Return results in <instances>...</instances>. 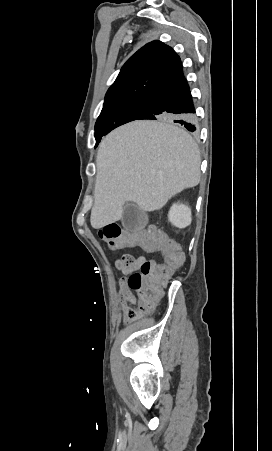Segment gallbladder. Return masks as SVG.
<instances>
[{
  "label": "gallbladder",
  "mask_w": 272,
  "mask_h": 451,
  "mask_svg": "<svg viewBox=\"0 0 272 451\" xmlns=\"http://www.w3.org/2000/svg\"><path fill=\"white\" fill-rule=\"evenodd\" d=\"M122 226L134 231V229H144L148 224V216L143 210H139L136 204H125L123 216L121 218Z\"/></svg>",
  "instance_id": "gallbladder-1"
}]
</instances>
